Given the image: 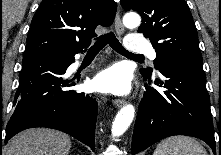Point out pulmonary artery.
Returning <instances> with one entry per match:
<instances>
[{"mask_svg": "<svg viewBox=\"0 0 221 155\" xmlns=\"http://www.w3.org/2000/svg\"><path fill=\"white\" fill-rule=\"evenodd\" d=\"M126 47L132 53H145L152 60L156 58L154 49L142 36L138 34H130L126 38Z\"/></svg>", "mask_w": 221, "mask_h": 155, "instance_id": "1", "label": "pulmonary artery"}]
</instances>
